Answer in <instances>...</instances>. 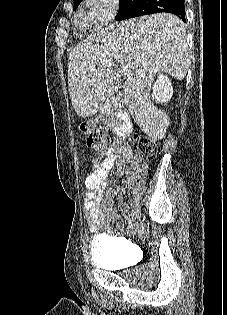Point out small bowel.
I'll return each mask as SVG.
<instances>
[{
	"mask_svg": "<svg viewBox=\"0 0 227 315\" xmlns=\"http://www.w3.org/2000/svg\"><path fill=\"white\" fill-rule=\"evenodd\" d=\"M132 159L130 149L125 145H116L103 148L96 156L92 164L91 172L84 180L86 197L84 207L88 230L91 233L97 232L102 226L113 219L115 206L110 194L104 192L106 179L110 170L117 165L121 170ZM122 212L128 213L127 205L122 197L119 198ZM120 222V220H116ZM129 229L137 233L140 227L137 223H130Z\"/></svg>",
	"mask_w": 227,
	"mask_h": 315,
	"instance_id": "c3829d8e",
	"label": "small bowel"
}]
</instances>
